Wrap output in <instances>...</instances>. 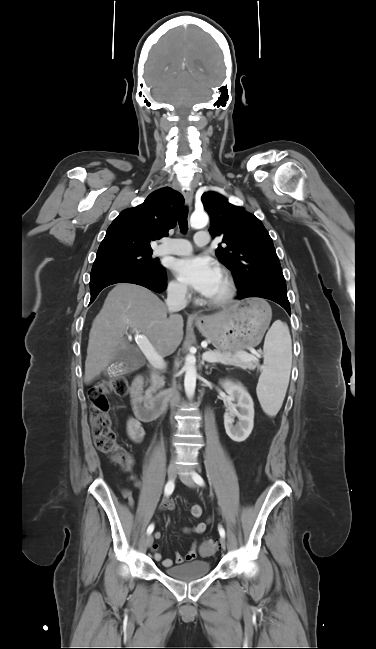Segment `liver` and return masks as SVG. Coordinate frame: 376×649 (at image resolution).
Here are the masks:
<instances>
[{"label": "liver", "mask_w": 376, "mask_h": 649, "mask_svg": "<svg viewBox=\"0 0 376 649\" xmlns=\"http://www.w3.org/2000/svg\"><path fill=\"white\" fill-rule=\"evenodd\" d=\"M167 306L150 290L119 283L108 294L89 333L84 382L89 383L107 367L118 350H127L129 328L144 334L162 357L171 355L183 338V318L167 317Z\"/></svg>", "instance_id": "obj_1"}]
</instances>
